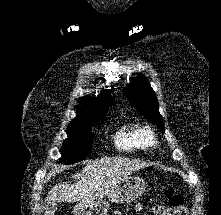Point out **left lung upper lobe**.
<instances>
[{
	"label": "left lung upper lobe",
	"instance_id": "left-lung-upper-lobe-1",
	"mask_svg": "<svg viewBox=\"0 0 221 215\" xmlns=\"http://www.w3.org/2000/svg\"><path fill=\"white\" fill-rule=\"evenodd\" d=\"M123 92L138 112L164 132V122L159 113L157 98L145 75L139 74Z\"/></svg>",
	"mask_w": 221,
	"mask_h": 215
}]
</instances>
